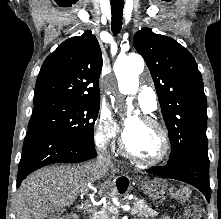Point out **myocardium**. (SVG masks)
<instances>
[{"label":"myocardium","mask_w":221,"mask_h":219,"mask_svg":"<svg viewBox=\"0 0 221 219\" xmlns=\"http://www.w3.org/2000/svg\"><path fill=\"white\" fill-rule=\"evenodd\" d=\"M138 119L142 123L156 128L157 131L159 132L160 137H161V143H162L161 150H160L159 154L156 157L151 158V159H145V158L139 157V156L131 153L128 150V148L126 147L124 138H122V140L120 142V152L126 158H128V159H130L134 162H137L139 164H142V165H145V166L159 165L162 162H164L170 154L171 143H170V138H169L168 131L166 130V128L160 122L153 119L152 117L140 116Z\"/></svg>","instance_id":"1"}]
</instances>
